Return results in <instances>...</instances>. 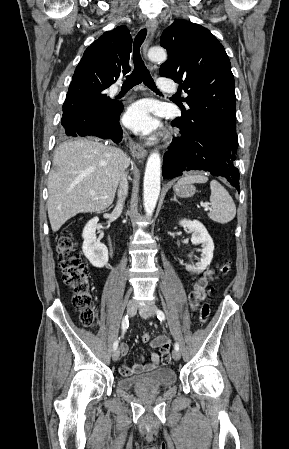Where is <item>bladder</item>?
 Segmentation results:
<instances>
[{
	"mask_svg": "<svg viewBox=\"0 0 289 449\" xmlns=\"http://www.w3.org/2000/svg\"><path fill=\"white\" fill-rule=\"evenodd\" d=\"M176 373L171 368H160L148 373L117 379V386L124 390L168 388L175 384Z\"/></svg>",
	"mask_w": 289,
	"mask_h": 449,
	"instance_id": "1",
	"label": "bladder"
}]
</instances>
